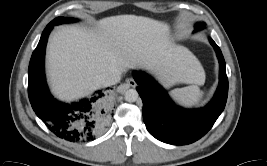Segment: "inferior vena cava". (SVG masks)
<instances>
[{
	"label": "inferior vena cava",
	"mask_w": 267,
	"mask_h": 166,
	"mask_svg": "<svg viewBox=\"0 0 267 166\" xmlns=\"http://www.w3.org/2000/svg\"><path fill=\"white\" fill-rule=\"evenodd\" d=\"M121 73L116 71H108L102 74L99 79L104 86L116 84L120 81Z\"/></svg>",
	"instance_id": "602c4592"
}]
</instances>
